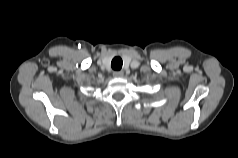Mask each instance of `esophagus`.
Wrapping results in <instances>:
<instances>
[{"instance_id":"esophagus-1","label":"esophagus","mask_w":238,"mask_h":158,"mask_svg":"<svg viewBox=\"0 0 238 158\" xmlns=\"http://www.w3.org/2000/svg\"><path fill=\"white\" fill-rule=\"evenodd\" d=\"M113 76L114 77H122L123 76V71H114Z\"/></svg>"}]
</instances>
